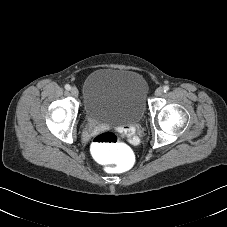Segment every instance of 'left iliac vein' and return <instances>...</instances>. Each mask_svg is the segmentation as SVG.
I'll return each mask as SVG.
<instances>
[{
  "label": "left iliac vein",
  "mask_w": 227,
  "mask_h": 227,
  "mask_svg": "<svg viewBox=\"0 0 227 227\" xmlns=\"http://www.w3.org/2000/svg\"><path fill=\"white\" fill-rule=\"evenodd\" d=\"M162 94H163V88H161V87L157 88L155 91V95L159 97Z\"/></svg>",
  "instance_id": "1"
}]
</instances>
